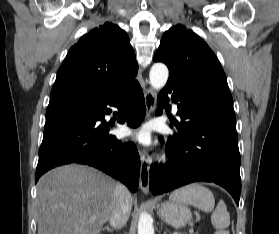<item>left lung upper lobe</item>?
Wrapping results in <instances>:
<instances>
[{
    "label": "left lung upper lobe",
    "mask_w": 279,
    "mask_h": 234,
    "mask_svg": "<svg viewBox=\"0 0 279 234\" xmlns=\"http://www.w3.org/2000/svg\"><path fill=\"white\" fill-rule=\"evenodd\" d=\"M153 59L165 63L169 78L184 87L232 100L217 57L197 34L185 26L176 25L164 33Z\"/></svg>",
    "instance_id": "left-lung-upper-lobe-1"
}]
</instances>
